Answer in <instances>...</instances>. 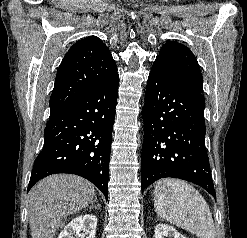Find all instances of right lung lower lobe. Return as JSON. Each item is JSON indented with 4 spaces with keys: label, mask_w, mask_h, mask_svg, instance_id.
Returning <instances> with one entry per match:
<instances>
[{
    "label": "right lung lower lobe",
    "mask_w": 247,
    "mask_h": 238,
    "mask_svg": "<svg viewBox=\"0 0 247 238\" xmlns=\"http://www.w3.org/2000/svg\"><path fill=\"white\" fill-rule=\"evenodd\" d=\"M118 79L116 73L86 95L50 113L44 146L35 159L28 191L48 175L70 173L91 181L108 199Z\"/></svg>",
    "instance_id": "1"
}]
</instances>
